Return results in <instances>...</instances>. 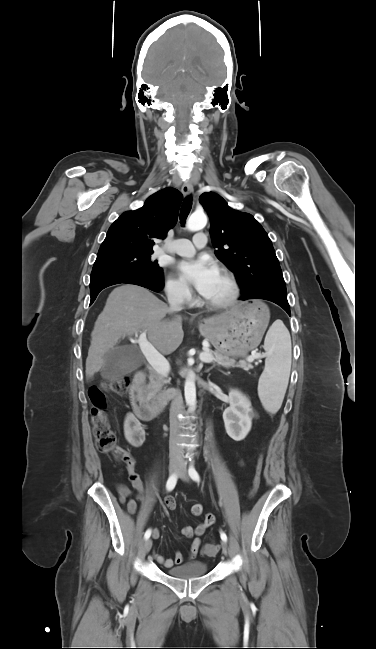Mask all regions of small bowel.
<instances>
[{
  "instance_id": "1",
  "label": "small bowel",
  "mask_w": 376,
  "mask_h": 649,
  "mask_svg": "<svg viewBox=\"0 0 376 649\" xmlns=\"http://www.w3.org/2000/svg\"><path fill=\"white\" fill-rule=\"evenodd\" d=\"M123 433L126 441L133 447H139L145 437V431L141 421L132 413H127L124 418ZM127 471L128 480L132 487L137 491L135 499L131 498V490L126 485L118 484L116 489L120 503L126 506L129 513L134 514L138 509V503L143 499V483L140 476L135 472L134 466L128 468ZM164 506L167 510L173 511L176 508L175 499L173 497H166L164 500ZM191 513L194 516H200L203 513V506L200 503H195L191 507ZM215 520V515L208 513L205 515L204 520L198 525L182 528L181 533L185 537L193 538L187 561H194L196 559L201 545L200 537L215 523ZM160 536V531L157 528H154L152 530V537L154 539H159ZM154 559L165 568H171L174 565H180L184 562V557L179 551L175 553L173 559L165 558L159 553H154Z\"/></svg>"
}]
</instances>
